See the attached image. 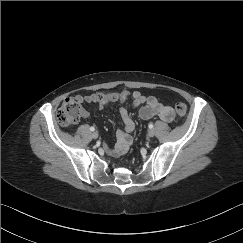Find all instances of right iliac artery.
I'll use <instances>...</instances> for the list:
<instances>
[{
	"mask_svg": "<svg viewBox=\"0 0 243 243\" xmlns=\"http://www.w3.org/2000/svg\"><path fill=\"white\" fill-rule=\"evenodd\" d=\"M90 130L91 131H95V128L92 126V127H90Z\"/></svg>",
	"mask_w": 243,
	"mask_h": 243,
	"instance_id": "obj_1",
	"label": "right iliac artery"
}]
</instances>
